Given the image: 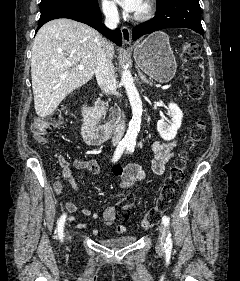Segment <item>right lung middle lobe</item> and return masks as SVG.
I'll list each match as a JSON object with an SVG mask.
<instances>
[{
	"label": "right lung middle lobe",
	"mask_w": 240,
	"mask_h": 281,
	"mask_svg": "<svg viewBox=\"0 0 240 281\" xmlns=\"http://www.w3.org/2000/svg\"><path fill=\"white\" fill-rule=\"evenodd\" d=\"M63 2L74 3V4H79V5H83V6H90V7H94V6L98 5L97 0H41L40 9H43L47 6L52 5V4L63 3Z\"/></svg>",
	"instance_id": "obj_1"
}]
</instances>
